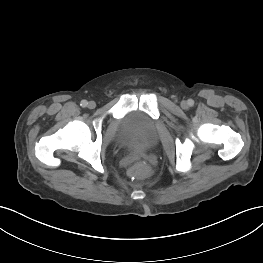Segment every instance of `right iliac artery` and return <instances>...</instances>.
Returning a JSON list of instances; mask_svg holds the SVG:
<instances>
[{"label":"right iliac artery","mask_w":263,"mask_h":263,"mask_svg":"<svg viewBox=\"0 0 263 263\" xmlns=\"http://www.w3.org/2000/svg\"><path fill=\"white\" fill-rule=\"evenodd\" d=\"M80 105H81L82 107H86V106L88 105V102H87L86 100H82L81 103H80Z\"/></svg>","instance_id":"82829eb1"}]
</instances>
